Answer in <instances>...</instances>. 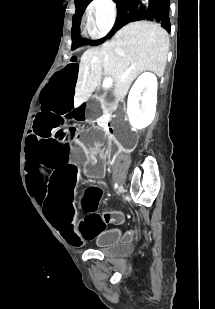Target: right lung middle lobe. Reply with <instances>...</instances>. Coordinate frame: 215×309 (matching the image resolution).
Wrapping results in <instances>:
<instances>
[{"label":"right lung middle lobe","instance_id":"1","mask_svg":"<svg viewBox=\"0 0 215 309\" xmlns=\"http://www.w3.org/2000/svg\"><path fill=\"white\" fill-rule=\"evenodd\" d=\"M91 0H77L75 2L76 4V14L74 16V25L72 27V50L82 46V45H85V44H90V45H98L102 42L105 41L106 38H109L110 35H112L115 30H116V23H115V26L114 28L110 31V33L100 39V40H97V41H88V40H84L82 38L79 37V25H80V21H81V17L84 13V10L86 8V6L88 5V3L90 2ZM117 2V20L118 18L120 17V15L122 14V12L124 11V9L130 5V3L133 1V0H114ZM116 20V22H117Z\"/></svg>","mask_w":215,"mask_h":309}]
</instances>
